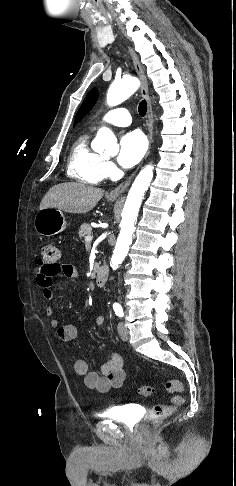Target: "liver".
I'll return each mask as SVG.
<instances>
[{"mask_svg":"<svg viewBox=\"0 0 236 486\" xmlns=\"http://www.w3.org/2000/svg\"><path fill=\"white\" fill-rule=\"evenodd\" d=\"M103 197V190L83 183H62L49 189L40 203V209L57 208L68 213L84 214L91 211Z\"/></svg>","mask_w":236,"mask_h":486,"instance_id":"liver-1","label":"liver"}]
</instances>
